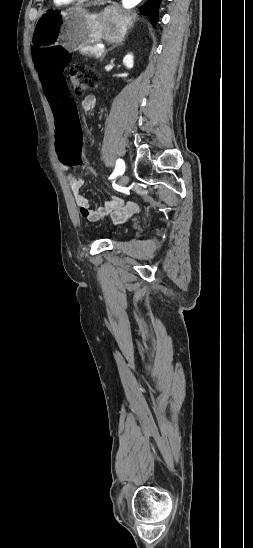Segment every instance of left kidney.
Returning a JSON list of instances; mask_svg holds the SVG:
<instances>
[{
  "mask_svg": "<svg viewBox=\"0 0 253 548\" xmlns=\"http://www.w3.org/2000/svg\"><path fill=\"white\" fill-rule=\"evenodd\" d=\"M123 64L125 65L126 68L128 69H132L133 66H134V57H133V54H127L124 58H123Z\"/></svg>",
  "mask_w": 253,
  "mask_h": 548,
  "instance_id": "obj_1",
  "label": "left kidney"
}]
</instances>
